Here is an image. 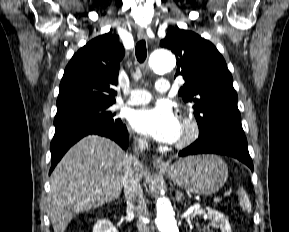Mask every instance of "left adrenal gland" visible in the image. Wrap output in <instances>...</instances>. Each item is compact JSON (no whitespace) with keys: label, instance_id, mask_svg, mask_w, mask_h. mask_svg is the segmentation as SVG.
<instances>
[{"label":"left adrenal gland","instance_id":"obj_1","mask_svg":"<svg viewBox=\"0 0 289 232\" xmlns=\"http://www.w3.org/2000/svg\"><path fill=\"white\" fill-rule=\"evenodd\" d=\"M182 198H183V194L180 191L176 190V194H175L176 201L180 202Z\"/></svg>","mask_w":289,"mask_h":232}]
</instances>
